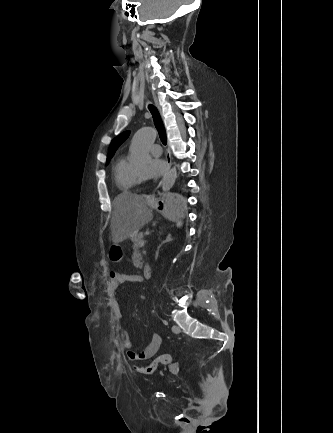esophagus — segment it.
Returning a JSON list of instances; mask_svg holds the SVG:
<instances>
[{
	"label": "esophagus",
	"mask_w": 333,
	"mask_h": 433,
	"mask_svg": "<svg viewBox=\"0 0 333 433\" xmlns=\"http://www.w3.org/2000/svg\"><path fill=\"white\" fill-rule=\"evenodd\" d=\"M172 165V155H171V151H170V147H169V142L167 141V151H166V170L165 173L163 174L162 179L160 180V182L158 183V187L162 184L163 179L166 175V173L170 170Z\"/></svg>",
	"instance_id": "obj_1"
}]
</instances>
